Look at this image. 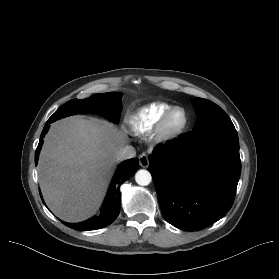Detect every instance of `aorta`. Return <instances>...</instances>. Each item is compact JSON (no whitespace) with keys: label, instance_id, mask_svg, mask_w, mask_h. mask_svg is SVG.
Wrapping results in <instances>:
<instances>
[{"label":"aorta","instance_id":"obj_1","mask_svg":"<svg viewBox=\"0 0 279 279\" xmlns=\"http://www.w3.org/2000/svg\"><path fill=\"white\" fill-rule=\"evenodd\" d=\"M152 180V176L150 174L149 171L147 170H139L136 172L135 174V181L137 184L141 185V186H147L150 184Z\"/></svg>","mask_w":279,"mask_h":279}]
</instances>
